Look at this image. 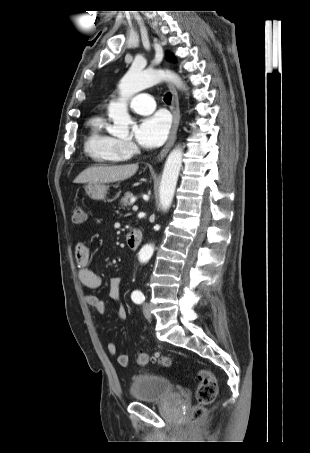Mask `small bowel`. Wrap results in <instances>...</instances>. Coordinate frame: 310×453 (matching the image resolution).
I'll list each match as a JSON object with an SVG mask.
<instances>
[{
	"label": "small bowel",
	"mask_w": 310,
	"mask_h": 453,
	"mask_svg": "<svg viewBox=\"0 0 310 453\" xmlns=\"http://www.w3.org/2000/svg\"><path fill=\"white\" fill-rule=\"evenodd\" d=\"M75 260L78 267L77 278L79 282L89 289L99 288L101 286V277L89 267L90 250L86 244L79 243L76 245ZM122 281V277H111L109 279L108 295L110 300L117 304V317L124 320L126 319L127 311L121 303L120 288ZM85 300L90 307L100 314H104L108 310V303L101 300L96 294H87ZM107 351L112 356L116 355V345L112 342L108 343ZM117 362L120 366L127 367L130 362L129 356L127 354H119L117 355Z\"/></svg>",
	"instance_id": "obj_1"
}]
</instances>
